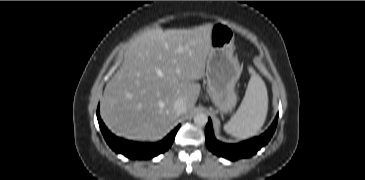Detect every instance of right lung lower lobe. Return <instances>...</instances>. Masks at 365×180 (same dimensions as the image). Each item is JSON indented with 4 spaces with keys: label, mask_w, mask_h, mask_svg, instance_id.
<instances>
[{
    "label": "right lung lower lobe",
    "mask_w": 365,
    "mask_h": 180,
    "mask_svg": "<svg viewBox=\"0 0 365 180\" xmlns=\"http://www.w3.org/2000/svg\"><path fill=\"white\" fill-rule=\"evenodd\" d=\"M97 119L102 131V134L108 143V145L116 152L125 155L131 159H149L157 156L160 153L165 152L172 145L175 135L180 127L178 125L167 137L157 143H138L133 141L124 140L122 138L113 135L99 115V109H97Z\"/></svg>",
    "instance_id": "right-lung-lower-lobe-1"
}]
</instances>
